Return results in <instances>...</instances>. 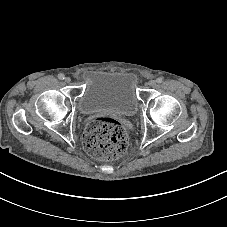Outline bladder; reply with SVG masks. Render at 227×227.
<instances>
[{"label":"bladder","instance_id":"31cf9c89","mask_svg":"<svg viewBox=\"0 0 227 227\" xmlns=\"http://www.w3.org/2000/svg\"><path fill=\"white\" fill-rule=\"evenodd\" d=\"M135 86L136 77L132 72L92 71L78 99V111L85 116H133L140 104Z\"/></svg>","mask_w":227,"mask_h":227}]
</instances>
